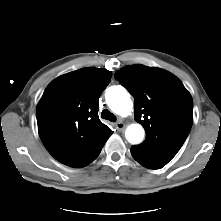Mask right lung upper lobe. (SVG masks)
<instances>
[{"instance_id":"obj_1","label":"right lung upper lobe","mask_w":221,"mask_h":221,"mask_svg":"<svg viewBox=\"0 0 221 221\" xmlns=\"http://www.w3.org/2000/svg\"><path fill=\"white\" fill-rule=\"evenodd\" d=\"M106 69L83 68L53 80L37 110L40 138L59 162L71 165L112 134L98 117L99 97L111 80Z\"/></svg>"}]
</instances>
